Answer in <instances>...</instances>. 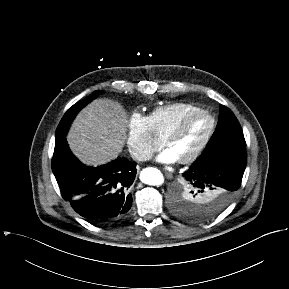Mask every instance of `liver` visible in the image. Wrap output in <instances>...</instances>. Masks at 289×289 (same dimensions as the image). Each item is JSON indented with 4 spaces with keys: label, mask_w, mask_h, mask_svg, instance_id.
<instances>
[{
    "label": "liver",
    "mask_w": 289,
    "mask_h": 289,
    "mask_svg": "<svg viewBox=\"0 0 289 289\" xmlns=\"http://www.w3.org/2000/svg\"><path fill=\"white\" fill-rule=\"evenodd\" d=\"M128 115L110 99H96L73 121L67 141L73 154L84 164L103 165L117 158L127 138Z\"/></svg>",
    "instance_id": "liver-1"
}]
</instances>
